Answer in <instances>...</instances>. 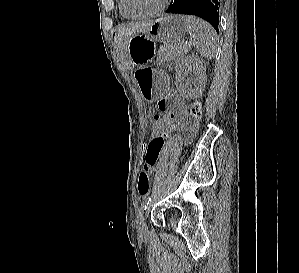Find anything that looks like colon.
I'll use <instances>...</instances> for the list:
<instances>
[{"instance_id":"colon-1","label":"colon","mask_w":299,"mask_h":273,"mask_svg":"<svg viewBox=\"0 0 299 273\" xmlns=\"http://www.w3.org/2000/svg\"><path fill=\"white\" fill-rule=\"evenodd\" d=\"M190 115L193 120H198L201 116V106L195 102L190 107ZM169 125V117L165 114H155L153 116L150 138H156L164 134ZM137 191L139 195L146 196L150 191V176L147 172L142 171L137 179Z\"/></svg>"}]
</instances>
